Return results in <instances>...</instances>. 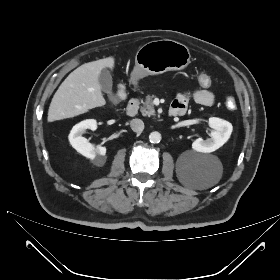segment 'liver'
I'll return each instance as SVG.
<instances>
[{
  "label": "liver",
  "instance_id": "1",
  "mask_svg": "<svg viewBox=\"0 0 280 280\" xmlns=\"http://www.w3.org/2000/svg\"><path fill=\"white\" fill-rule=\"evenodd\" d=\"M115 59L107 57L85 63L71 72L54 94L48 110V122L72 118L106 101L101 92L99 74L104 68L113 69Z\"/></svg>",
  "mask_w": 280,
  "mask_h": 280
}]
</instances>
